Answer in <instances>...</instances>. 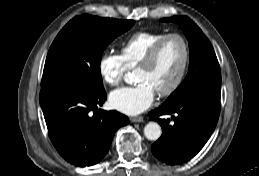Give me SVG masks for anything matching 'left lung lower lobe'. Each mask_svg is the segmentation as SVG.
I'll return each instance as SVG.
<instances>
[{"mask_svg": "<svg viewBox=\"0 0 259 176\" xmlns=\"http://www.w3.org/2000/svg\"><path fill=\"white\" fill-rule=\"evenodd\" d=\"M220 114V99L197 95L176 104H162L149 113L162 126L161 137L152 145L155 157L169 165L194 157L214 131ZM171 115V119H161Z\"/></svg>", "mask_w": 259, "mask_h": 176, "instance_id": "1", "label": "left lung lower lobe"}]
</instances>
